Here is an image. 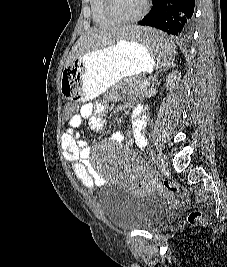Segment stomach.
<instances>
[{
  "mask_svg": "<svg viewBox=\"0 0 227 267\" xmlns=\"http://www.w3.org/2000/svg\"><path fill=\"white\" fill-rule=\"evenodd\" d=\"M158 67L159 63H153L147 47L123 39L75 58L64 68L58 86L65 101L81 104L95 99L122 79L149 73Z\"/></svg>",
  "mask_w": 227,
  "mask_h": 267,
  "instance_id": "stomach-1",
  "label": "stomach"
}]
</instances>
